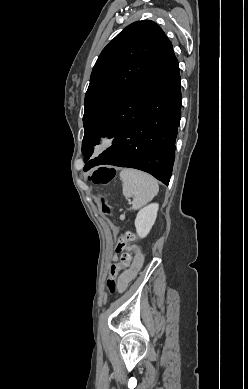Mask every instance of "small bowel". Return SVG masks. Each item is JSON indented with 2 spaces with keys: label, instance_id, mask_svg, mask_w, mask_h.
<instances>
[{
  "label": "small bowel",
  "instance_id": "small-bowel-1",
  "mask_svg": "<svg viewBox=\"0 0 248 389\" xmlns=\"http://www.w3.org/2000/svg\"><path fill=\"white\" fill-rule=\"evenodd\" d=\"M124 248H128L130 250H133V251L137 252L138 253V259L135 262V264L129 270H127L124 273L120 274L119 277L117 278V284H118V290L119 291H124L126 289V287L128 286V284L134 279V277L136 276L138 270L141 267V262H142V259H141V256L139 254V251H138V249L135 246H131V245H127L126 244L124 246Z\"/></svg>",
  "mask_w": 248,
  "mask_h": 389
}]
</instances>
